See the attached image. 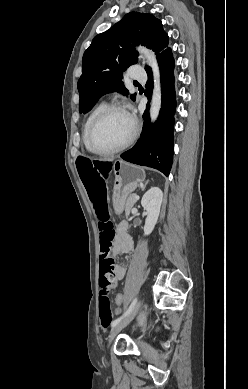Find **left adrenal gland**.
I'll use <instances>...</instances> for the list:
<instances>
[{"mask_svg": "<svg viewBox=\"0 0 248 389\" xmlns=\"http://www.w3.org/2000/svg\"><path fill=\"white\" fill-rule=\"evenodd\" d=\"M146 184H147V183H145V184L143 185V188H145Z\"/></svg>", "mask_w": 248, "mask_h": 389, "instance_id": "obj_1", "label": "left adrenal gland"}]
</instances>
